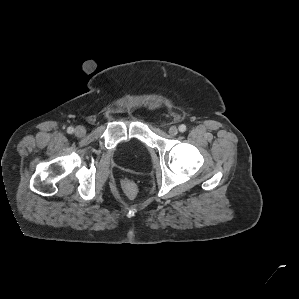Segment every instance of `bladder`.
Wrapping results in <instances>:
<instances>
[{
    "instance_id": "obj_1",
    "label": "bladder",
    "mask_w": 299,
    "mask_h": 299,
    "mask_svg": "<svg viewBox=\"0 0 299 299\" xmlns=\"http://www.w3.org/2000/svg\"><path fill=\"white\" fill-rule=\"evenodd\" d=\"M119 154L124 164L136 166L148 155L147 147L139 140H128L118 147Z\"/></svg>"
}]
</instances>
